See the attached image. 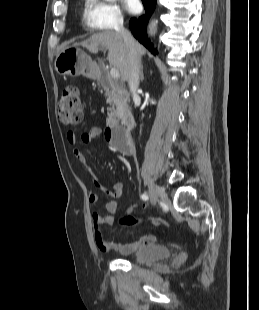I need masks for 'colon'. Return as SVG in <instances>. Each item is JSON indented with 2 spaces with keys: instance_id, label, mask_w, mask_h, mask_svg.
<instances>
[{
  "instance_id": "1",
  "label": "colon",
  "mask_w": 259,
  "mask_h": 310,
  "mask_svg": "<svg viewBox=\"0 0 259 310\" xmlns=\"http://www.w3.org/2000/svg\"><path fill=\"white\" fill-rule=\"evenodd\" d=\"M58 118L67 125L78 124L83 115V106L80 98L79 89L75 86H67L64 88L61 98L58 103ZM139 222L132 215H126L121 219V224L124 226H134ZM151 223L155 226L166 225L160 219H152Z\"/></svg>"
}]
</instances>
